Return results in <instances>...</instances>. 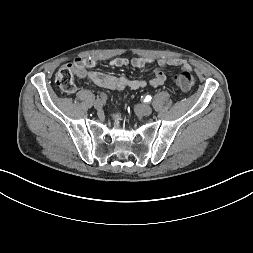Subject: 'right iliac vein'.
I'll use <instances>...</instances> for the list:
<instances>
[{"label": "right iliac vein", "instance_id": "right-iliac-vein-1", "mask_svg": "<svg viewBox=\"0 0 253 253\" xmlns=\"http://www.w3.org/2000/svg\"><path fill=\"white\" fill-rule=\"evenodd\" d=\"M94 108L96 110H102L103 108V102L100 100V99H97L95 102H94Z\"/></svg>", "mask_w": 253, "mask_h": 253}]
</instances>
